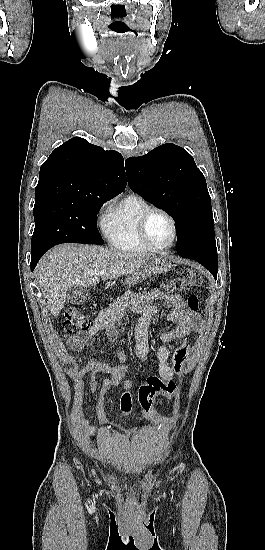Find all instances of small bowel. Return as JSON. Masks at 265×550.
I'll list each match as a JSON object with an SVG mask.
<instances>
[{"label": "small bowel", "instance_id": "obj_1", "mask_svg": "<svg viewBox=\"0 0 265 550\" xmlns=\"http://www.w3.org/2000/svg\"><path fill=\"white\" fill-rule=\"evenodd\" d=\"M169 311V319L177 323L175 330L167 331L161 335V345L158 347L155 357L158 363L159 377L167 384L173 385L175 392L176 386L174 378L181 375L186 368V361L189 354L187 340L194 333L198 326V317L185 310L182 298L176 295L164 294L158 290H151L143 293L127 292L113 302L107 309L101 312L95 319L93 325L67 340V346L70 351L79 352L90 346L93 338L99 332H105L110 342L118 339V333L115 323L127 310H133L139 314V319L135 325L136 343L134 354L140 361L145 362L151 356L150 351V326L152 319L160 313L161 308ZM119 363L91 358L87 363L76 371L78 378H83L87 374H92L89 384L92 391H97L99 402V417H102L101 405L106 393L113 387H120L123 393L120 397V410L124 415H130L133 412V401L129 391L133 388V382L125 379L128 372V365L124 363V350L119 351ZM67 361H73L72 354L66 355ZM105 373L109 377L104 379L98 386L96 374ZM162 396L167 397V394ZM159 415V414H158ZM145 418L149 419L145 416ZM152 420V419H150ZM157 423L164 422V418L159 415ZM87 430L93 434H98V428L90 425L87 420H83Z\"/></svg>", "mask_w": 265, "mask_h": 550}]
</instances>
